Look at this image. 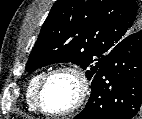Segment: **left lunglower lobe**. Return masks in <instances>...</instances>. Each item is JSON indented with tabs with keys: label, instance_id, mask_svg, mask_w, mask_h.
Here are the masks:
<instances>
[{
	"label": "left lung lower lobe",
	"instance_id": "0a47b994",
	"mask_svg": "<svg viewBox=\"0 0 142 119\" xmlns=\"http://www.w3.org/2000/svg\"><path fill=\"white\" fill-rule=\"evenodd\" d=\"M92 92L75 119H138L142 116V30L122 39L92 78Z\"/></svg>",
	"mask_w": 142,
	"mask_h": 119
}]
</instances>
